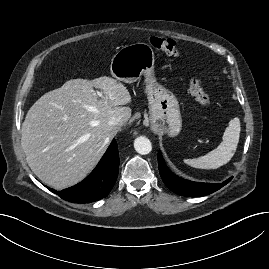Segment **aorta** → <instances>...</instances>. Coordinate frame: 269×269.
<instances>
[{"label":"aorta","instance_id":"1","mask_svg":"<svg viewBox=\"0 0 269 269\" xmlns=\"http://www.w3.org/2000/svg\"><path fill=\"white\" fill-rule=\"evenodd\" d=\"M134 148L141 155L149 154L152 150L150 140L145 136H139L134 140Z\"/></svg>","mask_w":269,"mask_h":269}]
</instances>
